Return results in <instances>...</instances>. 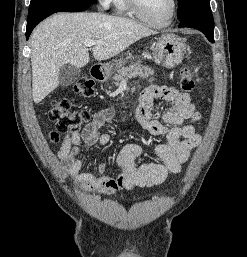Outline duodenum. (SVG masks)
Wrapping results in <instances>:
<instances>
[{"label":"duodenum","instance_id":"duodenum-1","mask_svg":"<svg viewBox=\"0 0 247 257\" xmlns=\"http://www.w3.org/2000/svg\"><path fill=\"white\" fill-rule=\"evenodd\" d=\"M91 76L95 81H103L105 77L103 68L99 65L93 66L91 68Z\"/></svg>","mask_w":247,"mask_h":257}]
</instances>
